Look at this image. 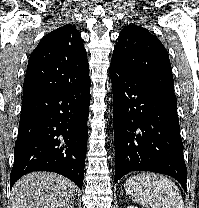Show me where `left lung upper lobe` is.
<instances>
[{
	"label": "left lung upper lobe",
	"instance_id": "obj_1",
	"mask_svg": "<svg viewBox=\"0 0 199 208\" xmlns=\"http://www.w3.org/2000/svg\"><path fill=\"white\" fill-rule=\"evenodd\" d=\"M111 63L153 85L174 91L168 53L158 38L137 25L123 28Z\"/></svg>",
	"mask_w": 199,
	"mask_h": 208
}]
</instances>
